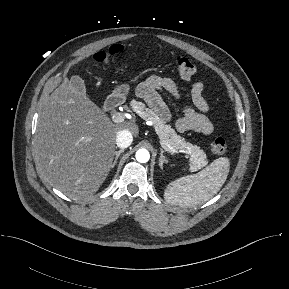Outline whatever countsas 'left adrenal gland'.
Here are the masks:
<instances>
[{"label": "left adrenal gland", "mask_w": 289, "mask_h": 289, "mask_svg": "<svg viewBox=\"0 0 289 289\" xmlns=\"http://www.w3.org/2000/svg\"><path fill=\"white\" fill-rule=\"evenodd\" d=\"M166 162L167 161H166L165 156H164V151H163V149H161L160 158H159V166L161 169H163V164Z\"/></svg>", "instance_id": "obj_1"}]
</instances>
